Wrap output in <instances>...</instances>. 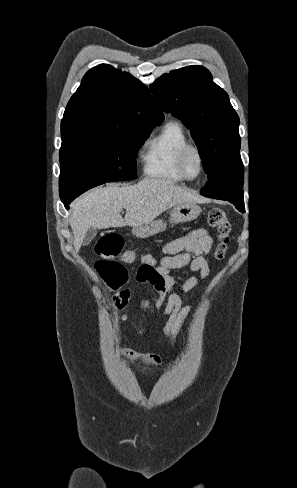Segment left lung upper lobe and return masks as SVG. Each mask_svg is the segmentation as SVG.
Wrapping results in <instances>:
<instances>
[{
    "label": "left lung upper lobe",
    "instance_id": "1",
    "mask_svg": "<svg viewBox=\"0 0 297 488\" xmlns=\"http://www.w3.org/2000/svg\"><path fill=\"white\" fill-rule=\"evenodd\" d=\"M163 111L191 130L208 181L201 194L244 207L239 117L203 66L163 74L150 85Z\"/></svg>",
    "mask_w": 297,
    "mask_h": 488
}]
</instances>
